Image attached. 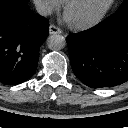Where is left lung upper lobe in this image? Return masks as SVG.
<instances>
[{
	"label": "left lung upper lobe",
	"instance_id": "1",
	"mask_svg": "<svg viewBox=\"0 0 128 128\" xmlns=\"http://www.w3.org/2000/svg\"><path fill=\"white\" fill-rule=\"evenodd\" d=\"M128 8V0H124L117 11Z\"/></svg>",
	"mask_w": 128,
	"mask_h": 128
}]
</instances>
